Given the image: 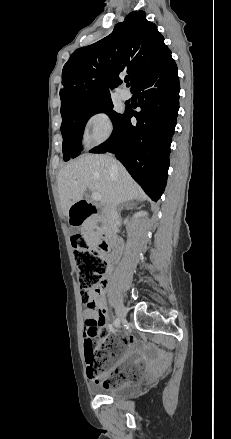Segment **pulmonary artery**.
I'll return each mask as SVG.
<instances>
[{"label": "pulmonary artery", "mask_w": 231, "mask_h": 439, "mask_svg": "<svg viewBox=\"0 0 231 439\" xmlns=\"http://www.w3.org/2000/svg\"><path fill=\"white\" fill-rule=\"evenodd\" d=\"M119 95L122 100H128L131 97L130 91L126 88L121 89Z\"/></svg>", "instance_id": "1"}]
</instances>
